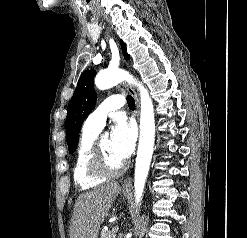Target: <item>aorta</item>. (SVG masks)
I'll use <instances>...</instances> for the list:
<instances>
[{
  "mask_svg": "<svg viewBox=\"0 0 247 238\" xmlns=\"http://www.w3.org/2000/svg\"><path fill=\"white\" fill-rule=\"evenodd\" d=\"M123 80L138 87L141 99L140 138L134 176L135 200L136 203H140L154 149L155 118L152 100L147 89L140 82L120 69L100 72L95 78V85L100 90H106Z\"/></svg>",
  "mask_w": 247,
  "mask_h": 238,
  "instance_id": "762f6f07",
  "label": "aorta"
}]
</instances>
